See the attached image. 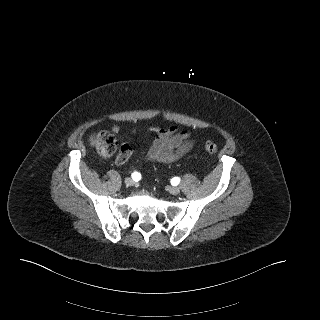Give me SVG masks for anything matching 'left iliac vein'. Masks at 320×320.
Here are the masks:
<instances>
[{"instance_id": "1", "label": "left iliac vein", "mask_w": 320, "mask_h": 320, "mask_svg": "<svg viewBox=\"0 0 320 320\" xmlns=\"http://www.w3.org/2000/svg\"><path fill=\"white\" fill-rule=\"evenodd\" d=\"M168 191L172 195H178L180 193V188L177 186H174V187H170Z\"/></svg>"}]
</instances>
